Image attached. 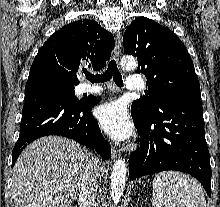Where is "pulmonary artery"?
<instances>
[{"instance_id": "pulmonary-artery-1", "label": "pulmonary artery", "mask_w": 220, "mask_h": 207, "mask_svg": "<svg viewBox=\"0 0 220 207\" xmlns=\"http://www.w3.org/2000/svg\"><path fill=\"white\" fill-rule=\"evenodd\" d=\"M144 87L143 80L141 77L133 75L127 78L126 88L128 90H141ZM89 93H102L103 89L97 86L88 87L86 89Z\"/></svg>"}]
</instances>
